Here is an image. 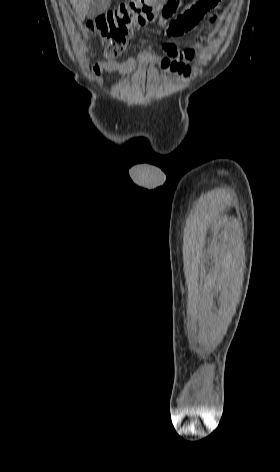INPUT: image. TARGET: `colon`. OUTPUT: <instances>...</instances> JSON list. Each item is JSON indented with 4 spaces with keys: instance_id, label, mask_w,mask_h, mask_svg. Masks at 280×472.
<instances>
[{
    "instance_id": "5ec220e1",
    "label": "colon",
    "mask_w": 280,
    "mask_h": 472,
    "mask_svg": "<svg viewBox=\"0 0 280 472\" xmlns=\"http://www.w3.org/2000/svg\"><path fill=\"white\" fill-rule=\"evenodd\" d=\"M219 0H206L202 6L213 9ZM182 0H130L88 22V31L106 46V54H121L133 32L160 18L166 20L180 8Z\"/></svg>"
}]
</instances>
